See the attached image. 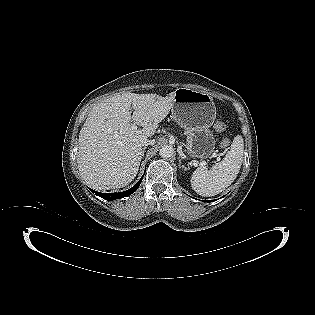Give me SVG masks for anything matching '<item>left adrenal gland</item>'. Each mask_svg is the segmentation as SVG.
<instances>
[{
	"instance_id": "left-adrenal-gland-1",
	"label": "left adrenal gland",
	"mask_w": 315,
	"mask_h": 315,
	"mask_svg": "<svg viewBox=\"0 0 315 315\" xmlns=\"http://www.w3.org/2000/svg\"><path fill=\"white\" fill-rule=\"evenodd\" d=\"M179 168H183L184 170H186V168L184 167V165H181V159H179Z\"/></svg>"
}]
</instances>
